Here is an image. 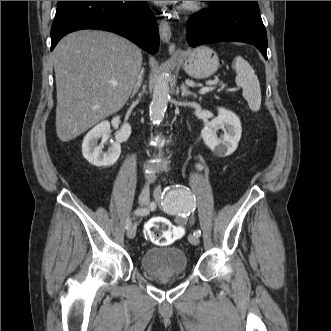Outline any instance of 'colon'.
<instances>
[{
    "instance_id": "5ec220e1",
    "label": "colon",
    "mask_w": 331,
    "mask_h": 331,
    "mask_svg": "<svg viewBox=\"0 0 331 331\" xmlns=\"http://www.w3.org/2000/svg\"><path fill=\"white\" fill-rule=\"evenodd\" d=\"M184 230L163 217H154L145 226V235L153 244L166 246L181 238Z\"/></svg>"
}]
</instances>
